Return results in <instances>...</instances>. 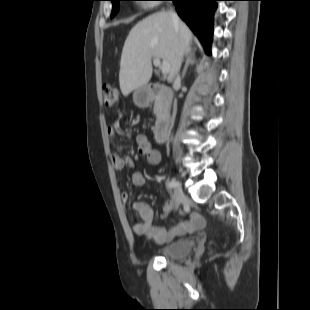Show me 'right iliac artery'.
I'll list each match as a JSON object with an SVG mask.
<instances>
[{
	"instance_id": "82829eb1",
	"label": "right iliac artery",
	"mask_w": 310,
	"mask_h": 310,
	"mask_svg": "<svg viewBox=\"0 0 310 310\" xmlns=\"http://www.w3.org/2000/svg\"><path fill=\"white\" fill-rule=\"evenodd\" d=\"M177 186V182L174 180L168 181L167 182V187L168 188H175Z\"/></svg>"
}]
</instances>
